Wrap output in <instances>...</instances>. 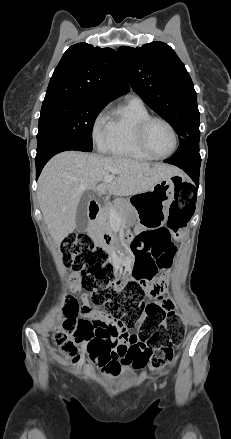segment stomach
<instances>
[{
  "mask_svg": "<svg viewBox=\"0 0 231 439\" xmlns=\"http://www.w3.org/2000/svg\"><path fill=\"white\" fill-rule=\"evenodd\" d=\"M180 181L184 183L181 176H171L150 190L132 196L133 209L146 227H158L165 223L177 190L176 184Z\"/></svg>",
  "mask_w": 231,
  "mask_h": 439,
  "instance_id": "1",
  "label": "stomach"
}]
</instances>
